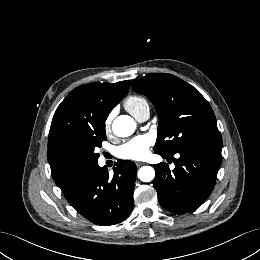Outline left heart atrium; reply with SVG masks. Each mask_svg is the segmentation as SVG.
<instances>
[{"label": "left heart atrium", "instance_id": "obj_1", "mask_svg": "<svg viewBox=\"0 0 260 260\" xmlns=\"http://www.w3.org/2000/svg\"><path fill=\"white\" fill-rule=\"evenodd\" d=\"M153 140L148 135L137 136L119 146L116 154L119 158L129 160H141L149 154Z\"/></svg>", "mask_w": 260, "mask_h": 260}]
</instances>
